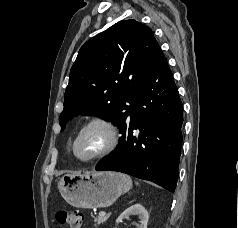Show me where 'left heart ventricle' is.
Masks as SVG:
<instances>
[{"instance_id": "obj_1", "label": "left heart ventricle", "mask_w": 238, "mask_h": 228, "mask_svg": "<svg viewBox=\"0 0 238 228\" xmlns=\"http://www.w3.org/2000/svg\"><path fill=\"white\" fill-rule=\"evenodd\" d=\"M106 142V134L101 128H93L86 132L79 140L76 151L82 158H87L97 153Z\"/></svg>"}]
</instances>
